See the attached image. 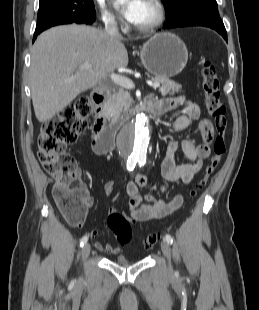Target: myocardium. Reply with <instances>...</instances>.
<instances>
[{"label":"myocardium","mask_w":259,"mask_h":310,"mask_svg":"<svg viewBox=\"0 0 259 310\" xmlns=\"http://www.w3.org/2000/svg\"><path fill=\"white\" fill-rule=\"evenodd\" d=\"M147 1L150 2L155 7L157 14H156L155 20L148 25L137 26V25L132 24V27L136 31H139L142 33H147V32H152V31L157 30L163 25L166 19V8L162 0H147Z\"/></svg>","instance_id":"obj_1"}]
</instances>
